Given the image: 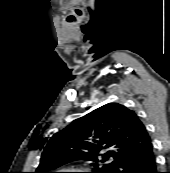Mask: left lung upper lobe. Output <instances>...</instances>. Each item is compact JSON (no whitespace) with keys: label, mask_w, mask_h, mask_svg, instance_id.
Instances as JSON below:
<instances>
[{"label":"left lung upper lobe","mask_w":170,"mask_h":173,"mask_svg":"<svg viewBox=\"0 0 170 173\" xmlns=\"http://www.w3.org/2000/svg\"><path fill=\"white\" fill-rule=\"evenodd\" d=\"M151 142L136 113L118 103H108L76 119L54 134L45 147L35 173L71 161H92L93 172L113 173L118 163Z\"/></svg>","instance_id":"left-lung-upper-lobe-1"}]
</instances>
